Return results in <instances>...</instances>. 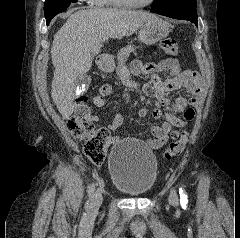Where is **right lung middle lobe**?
Segmentation results:
<instances>
[{
    "label": "right lung middle lobe",
    "mask_w": 240,
    "mask_h": 238,
    "mask_svg": "<svg viewBox=\"0 0 240 238\" xmlns=\"http://www.w3.org/2000/svg\"><path fill=\"white\" fill-rule=\"evenodd\" d=\"M72 2H76V0H46L44 6L46 24L49 25L52 18L67 9Z\"/></svg>",
    "instance_id": "1"
}]
</instances>
